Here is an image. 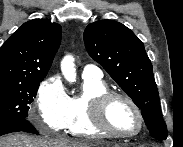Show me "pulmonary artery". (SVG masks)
I'll use <instances>...</instances> for the list:
<instances>
[{"mask_svg":"<svg viewBox=\"0 0 183 147\" xmlns=\"http://www.w3.org/2000/svg\"><path fill=\"white\" fill-rule=\"evenodd\" d=\"M82 77L84 79L101 80L103 72L96 65H86L82 71Z\"/></svg>","mask_w":183,"mask_h":147,"instance_id":"e3ab8cb5","label":"pulmonary artery"}]
</instances>
